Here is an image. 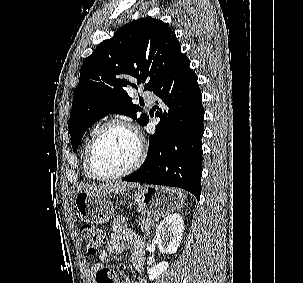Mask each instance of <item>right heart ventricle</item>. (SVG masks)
<instances>
[{
  "instance_id": "e07e8e85",
  "label": "right heart ventricle",
  "mask_w": 303,
  "mask_h": 283,
  "mask_svg": "<svg viewBox=\"0 0 303 283\" xmlns=\"http://www.w3.org/2000/svg\"><path fill=\"white\" fill-rule=\"evenodd\" d=\"M97 128H93L88 136L86 137V140L84 142V145H83V148H82V169H83V172H84V175L85 177L88 179V180H97L90 172L88 166H87V162H86V152H87V147H88V144L91 140V137L93 136L94 132L96 131Z\"/></svg>"
}]
</instances>
